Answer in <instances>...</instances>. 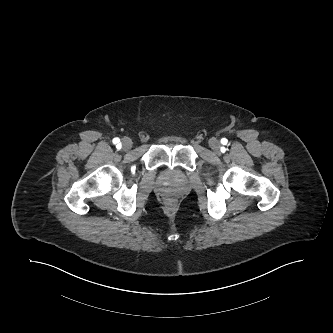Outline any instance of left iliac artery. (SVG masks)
<instances>
[{
    "label": "left iliac artery",
    "instance_id": "left-iliac-artery-1",
    "mask_svg": "<svg viewBox=\"0 0 333 333\" xmlns=\"http://www.w3.org/2000/svg\"><path fill=\"white\" fill-rule=\"evenodd\" d=\"M221 143H222V144H226V143H227V139H226V138H223V139L221 140Z\"/></svg>",
    "mask_w": 333,
    "mask_h": 333
}]
</instances>
